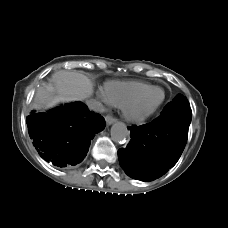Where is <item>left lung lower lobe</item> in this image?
Instances as JSON below:
<instances>
[{
    "label": "left lung lower lobe",
    "mask_w": 228,
    "mask_h": 228,
    "mask_svg": "<svg viewBox=\"0 0 228 228\" xmlns=\"http://www.w3.org/2000/svg\"><path fill=\"white\" fill-rule=\"evenodd\" d=\"M191 114L163 110L159 117L141 126L128 127L131 141L118 150L127 175L151 181L165 174L180 158L188 138Z\"/></svg>",
    "instance_id": "obj_1"
}]
</instances>
